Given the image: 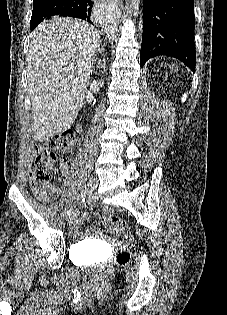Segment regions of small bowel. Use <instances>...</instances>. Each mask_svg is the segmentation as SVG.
<instances>
[{
	"label": "small bowel",
	"instance_id": "small-bowel-1",
	"mask_svg": "<svg viewBox=\"0 0 227 315\" xmlns=\"http://www.w3.org/2000/svg\"><path fill=\"white\" fill-rule=\"evenodd\" d=\"M59 171L65 177L70 176L71 168H70L69 162L62 160L59 164ZM33 191H34L35 195L38 197V199L41 201H47L51 197V193L58 194V190L54 187H51V186H49L48 188H39V189L33 187ZM108 212H109V210H108ZM89 219H90V216L87 212L82 213V215H81L82 221H88ZM78 226H79V223H74L72 225L71 231L73 233H76Z\"/></svg>",
	"mask_w": 227,
	"mask_h": 315
}]
</instances>
